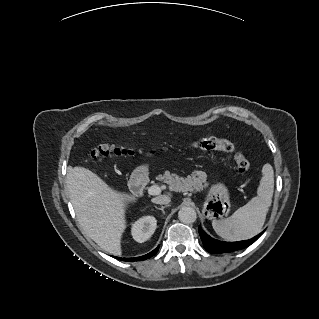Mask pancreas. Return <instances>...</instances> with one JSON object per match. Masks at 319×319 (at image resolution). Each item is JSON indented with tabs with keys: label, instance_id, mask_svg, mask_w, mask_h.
<instances>
[{
	"label": "pancreas",
	"instance_id": "cf45deb5",
	"mask_svg": "<svg viewBox=\"0 0 319 319\" xmlns=\"http://www.w3.org/2000/svg\"><path fill=\"white\" fill-rule=\"evenodd\" d=\"M160 179L166 181L173 189L178 190L183 188L192 190L201 188L202 182H205L206 177L201 172H197L192 178L184 179L175 174L165 172L163 176H160Z\"/></svg>",
	"mask_w": 319,
	"mask_h": 319
}]
</instances>
